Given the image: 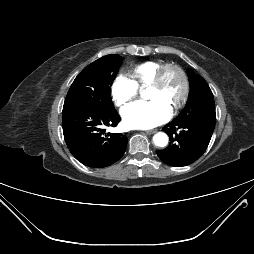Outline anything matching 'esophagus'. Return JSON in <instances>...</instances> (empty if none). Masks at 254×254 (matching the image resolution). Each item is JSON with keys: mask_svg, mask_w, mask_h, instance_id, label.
<instances>
[{"mask_svg": "<svg viewBox=\"0 0 254 254\" xmlns=\"http://www.w3.org/2000/svg\"><path fill=\"white\" fill-rule=\"evenodd\" d=\"M155 132H156V130L145 131V133L148 134V135L154 134Z\"/></svg>", "mask_w": 254, "mask_h": 254, "instance_id": "obj_1", "label": "esophagus"}]
</instances>
